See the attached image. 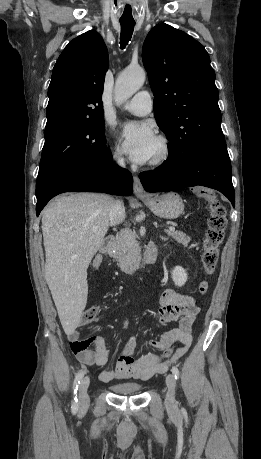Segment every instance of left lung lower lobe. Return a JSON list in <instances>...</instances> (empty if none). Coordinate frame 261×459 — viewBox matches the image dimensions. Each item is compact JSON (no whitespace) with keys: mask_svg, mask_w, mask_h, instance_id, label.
Instances as JSON below:
<instances>
[{"mask_svg":"<svg viewBox=\"0 0 261 459\" xmlns=\"http://www.w3.org/2000/svg\"><path fill=\"white\" fill-rule=\"evenodd\" d=\"M148 192L171 191L196 185L222 192L235 206L231 163L226 146L195 153L184 163L167 159L160 167L139 175Z\"/></svg>","mask_w":261,"mask_h":459,"instance_id":"0a47b994","label":"left lung lower lobe"}]
</instances>
